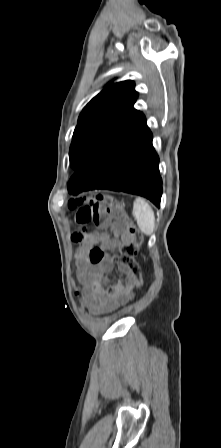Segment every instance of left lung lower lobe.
Segmentation results:
<instances>
[{"mask_svg":"<svg viewBox=\"0 0 221 448\" xmlns=\"http://www.w3.org/2000/svg\"><path fill=\"white\" fill-rule=\"evenodd\" d=\"M152 138L145 124L103 161L77 170L68 183V191L74 195L93 189L123 191L144 196L159 207L162 179Z\"/></svg>","mask_w":221,"mask_h":448,"instance_id":"obj_1","label":"left lung lower lobe"}]
</instances>
